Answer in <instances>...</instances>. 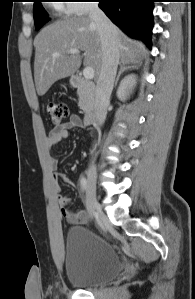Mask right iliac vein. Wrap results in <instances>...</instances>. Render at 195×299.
Listing matches in <instances>:
<instances>
[{
	"label": "right iliac vein",
	"instance_id": "right-iliac-vein-1",
	"mask_svg": "<svg viewBox=\"0 0 195 299\" xmlns=\"http://www.w3.org/2000/svg\"><path fill=\"white\" fill-rule=\"evenodd\" d=\"M86 205L89 216L92 217L99 204L96 198V171L90 167L87 174Z\"/></svg>",
	"mask_w": 195,
	"mask_h": 299
}]
</instances>
